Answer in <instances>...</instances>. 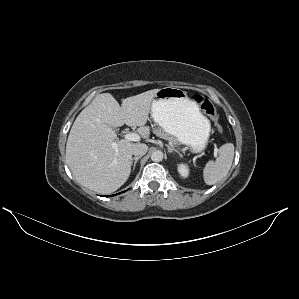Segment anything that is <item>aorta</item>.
<instances>
[{
	"instance_id": "762f6f07",
	"label": "aorta",
	"mask_w": 299,
	"mask_h": 299,
	"mask_svg": "<svg viewBox=\"0 0 299 299\" xmlns=\"http://www.w3.org/2000/svg\"><path fill=\"white\" fill-rule=\"evenodd\" d=\"M151 160L154 162H160L163 160V152L160 150L154 151L151 154Z\"/></svg>"
}]
</instances>
